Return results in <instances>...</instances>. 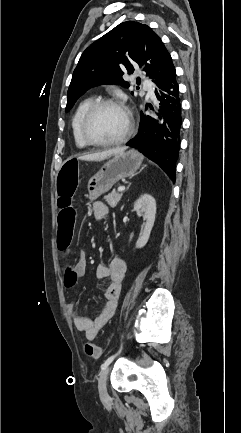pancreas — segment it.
Masks as SVG:
<instances>
[{
  "label": "pancreas",
  "instance_id": "cf45deb5",
  "mask_svg": "<svg viewBox=\"0 0 241 433\" xmlns=\"http://www.w3.org/2000/svg\"><path fill=\"white\" fill-rule=\"evenodd\" d=\"M122 195H123L122 193H117V192L113 191L110 194L106 195L104 197V200L108 203V205L111 208H114L117 206V204L121 200Z\"/></svg>",
  "mask_w": 241,
  "mask_h": 433
}]
</instances>
